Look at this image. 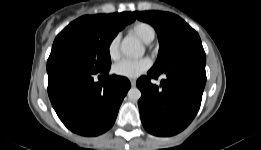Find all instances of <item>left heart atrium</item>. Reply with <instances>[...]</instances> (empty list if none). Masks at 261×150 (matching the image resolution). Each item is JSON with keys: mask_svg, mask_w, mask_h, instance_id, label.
Returning <instances> with one entry per match:
<instances>
[{"mask_svg": "<svg viewBox=\"0 0 261 150\" xmlns=\"http://www.w3.org/2000/svg\"><path fill=\"white\" fill-rule=\"evenodd\" d=\"M151 67V61L148 58L138 60L124 59L116 63L113 72L121 77L135 79L146 72Z\"/></svg>", "mask_w": 261, "mask_h": 150, "instance_id": "1", "label": "left heart atrium"}]
</instances>
